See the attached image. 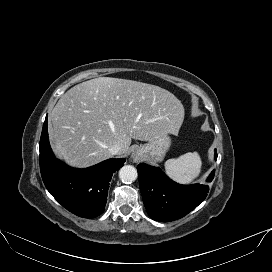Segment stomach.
Wrapping results in <instances>:
<instances>
[{"label": "stomach", "mask_w": 272, "mask_h": 272, "mask_svg": "<svg viewBox=\"0 0 272 272\" xmlns=\"http://www.w3.org/2000/svg\"><path fill=\"white\" fill-rule=\"evenodd\" d=\"M171 138L168 134L157 137L148 143L138 147V150L151 162H161L169 147Z\"/></svg>", "instance_id": "0dacf381"}]
</instances>
